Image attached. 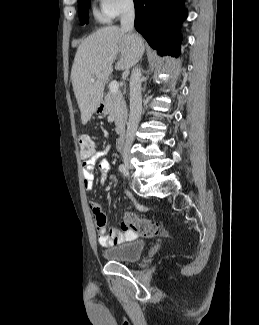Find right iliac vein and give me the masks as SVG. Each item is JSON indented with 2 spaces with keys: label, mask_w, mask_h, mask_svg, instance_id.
<instances>
[{
  "label": "right iliac vein",
  "mask_w": 259,
  "mask_h": 325,
  "mask_svg": "<svg viewBox=\"0 0 259 325\" xmlns=\"http://www.w3.org/2000/svg\"><path fill=\"white\" fill-rule=\"evenodd\" d=\"M123 161H124V163H125L126 166H128L131 169L133 168V165L131 163V156L129 154H125L123 156Z\"/></svg>",
  "instance_id": "obj_1"
}]
</instances>
